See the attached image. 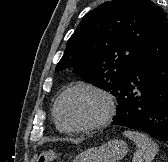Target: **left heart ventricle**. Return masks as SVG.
<instances>
[{
  "mask_svg": "<svg viewBox=\"0 0 168 162\" xmlns=\"http://www.w3.org/2000/svg\"><path fill=\"white\" fill-rule=\"evenodd\" d=\"M104 112V100L88 90H79L68 94L59 107L61 120L69 126L92 123L101 118Z\"/></svg>",
  "mask_w": 168,
  "mask_h": 162,
  "instance_id": "1",
  "label": "left heart ventricle"
}]
</instances>
